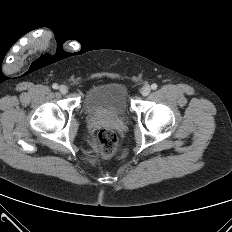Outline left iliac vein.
<instances>
[{"label": "left iliac vein", "instance_id": "4c4485c4", "mask_svg": "<svg viewBox=\"0 0 232 232\" xmlns=\"http://www.w3.org/2000/svg\"><path fill=\"white\" fill-rule=\"evenodd\" d=\"M151 91V87L149 85H144L142 88H141V94L143 96H147Z\"/></svg>", "mask_w": 232, "mask_h": 232}]
</instances>
